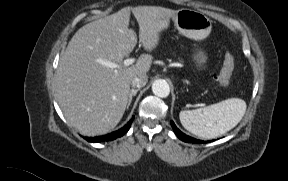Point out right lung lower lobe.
I'll return each instance as SVG.
<instances>
[{
    "label": "right lung lower lobe",
    "mask_w": 288,
    "mask_h": 181,
    "mask_svg": "<svg viewBox=\"0 0 288 181\" xmlns=\"http://www.w3.org/2000/svg\"><path fill=\"white\" fill-rule=\"evenodd\" d=\"M134 116L133 118L121 129L114 131L112 133L106 134V135H102V136H97V137H84L88 142H93V143H97V142H107V141H112L115 140L119 137H122L123 135H125L128 130L131 127V124L133 122Z\"/></svg>",
    "instance_id": "1"
}]
</instances>
